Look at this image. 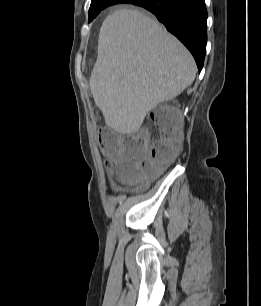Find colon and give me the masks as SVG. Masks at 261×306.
<instances>
[{
    "label": "colon",
    "instance_id": "5ec220e1",
    "mask_svg": "<svg viewBox=\"0 0 261 306\" xmlns=\"http://www.w3.org/2000/svg\"><path fill=\"white\" fill-rule=\"evenodd\" d=\"M153 124L157 130L156 139L150 143L146 129H140L123 140L116 134H107L101 145L111 159L125 158L139 163L116 166L114 175L121 182L143 184L153 179L161 169L175 158L181 141L182 121L179 114L168 106H160L153 112Z\"/></svg>",
    "mask_w": 261,
    "mask_h": 306
}]
</instances>
